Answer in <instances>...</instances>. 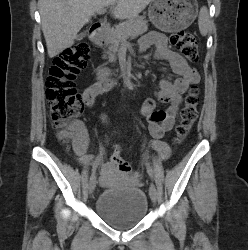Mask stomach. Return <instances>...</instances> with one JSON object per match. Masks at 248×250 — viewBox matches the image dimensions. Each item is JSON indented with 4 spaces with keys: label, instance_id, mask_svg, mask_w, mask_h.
Wrapping results in <instances>:
<instances>
[{
    "label": "stomach",
    "instance_id": "stomach-1",
    "mask_svg": "<svg viewBox=\"0 0 248 250\" xmlns=\"http://www.w3.org/2000/svg\"><path fill=\"white\" fill-rule=\"evenodd\" d=\"M197 14L196 0H153L148 9L152 24L164 32H175L189 27Z\"/></svg>",
    "mask_w": 248,
    "mask_h": 250
}]
</instances>
